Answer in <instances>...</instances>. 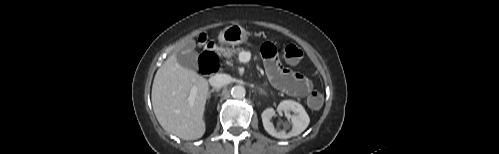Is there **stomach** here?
Wrapping results in <instances>:
<instances>
[{"label":"stomach","mask_w":499,"mask_h":154,"mask_svg":"<svg viewBox=\"0 0 499 154\" xmlns=\"http://www.w3.org/2000/svg\"><path fill=\"white\" fill-rule=\"evenodd\" d=\"M250 34L240 25H231L223 29L218 36L220 44L238 45L248 40Z\"/></svg>","instance_id":"1"}]
</instances>
